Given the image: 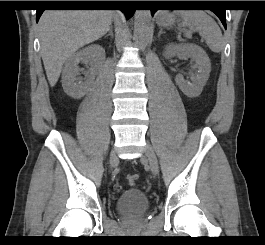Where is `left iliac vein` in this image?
Returning <instances> with one entry per match:
<instances>
[{"label": "left iliac vein", "instance_id": "4c4485c4", "mask_svg": "<svg viewBox=\"0 0 265 245\" xmlns=\"http://www.w3.org/2000/svg\"><path fill=\"white\" fill-rule=\"evenodd\" d=\"M144 157L147 158L152 174L157 176L158 174V161L155 155L153 147L147 143L144 151Z\"/></svg>", "mask_w": 265, "mask_h": 245}]
</instances>
